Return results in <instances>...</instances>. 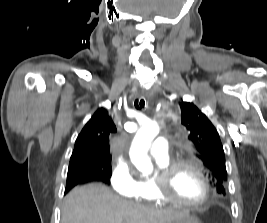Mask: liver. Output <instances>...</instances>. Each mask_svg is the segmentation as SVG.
Masks as SVG:
<instances>
[{"mask_svg": "<svg viewBox=\"0 0 267 223\" xmlns=\"http://www.w3.org/2000/svg\"><path fill=\"white\" fill-rule=\"evenodd\" d=\"M187 214L124 200L105 185L92 183L66 196L61 223H170Z\"/></svg>", "mask_w": 267, "mask_h": 223, "instance_id": "1", "label": "liver"}]
</instances>
